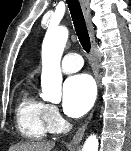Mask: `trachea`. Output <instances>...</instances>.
Segmentation results:
<instances>
[{
	"mask_svg": "<svg viewBox=\"0 0 131 151\" xmlns=\"http://www.w3.org/2000/svg\"><path fill=\"white\" fill-rule=\"evenodd\" d=\"M70 13L72 16L73 24L75 27L78 39L86 52L90 51V37L86 27L85 19L82 13V9L78 0H66Z\"/></svg>",
	"mask_w": 131,
	"mask_h": 151,
	"instance_id": "trachea-1",
	"label": "trachea"
}]
</instances>
